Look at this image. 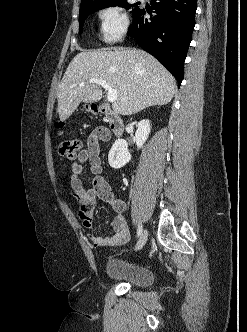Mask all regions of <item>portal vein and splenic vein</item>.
Wrapping results in <instances>:
<instances>
[{
	"mask_svg": "<svg viewBox=\"0 0 247 332\" xmlns=\"http://www.w3.org/2000/svg\"><path fill=\"white\" fill-rule=\"evenodd\" d=\"M90 83H96L100 86H102L104 89H106L108 91L107 93V100L109 102H114L116 101L117 99V91L115 89H112L110 87V85L105 81V80H102V79H98V78H93V79H90L89 80ZM85 83H80L79 86H84Z\"/></svg>",
	"mask_w": 247,
	"mask_h": 332,
	"instance_id": "18ae733b",
	"label": "portal vein and splenic vein"
}]
</instances>
